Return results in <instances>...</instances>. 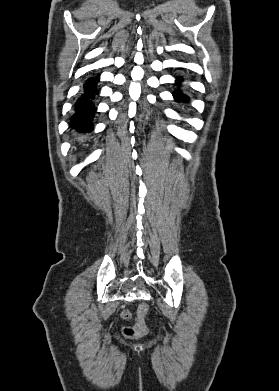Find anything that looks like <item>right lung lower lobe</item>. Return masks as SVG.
Here are the masks:
<instances>
[{"label":"right lung lower lobe","mask_w":279,"mask_h":391,"mask_svg":"<svg viewBox=\"0 0 279 391\" xmlns=\"http://www.w3.org/2000/svg\"><path fill=\"white\" fill-rule=\"evenodd\" d=\"M98 81V77L88 79L84 85V93L75 104V113L71 118L70 127L79 133L91 132L93 129L92 118L97 109L93 99L98 94L95 88Z\"/></svg>","instance_id":"obj_1"}]
</instances>
